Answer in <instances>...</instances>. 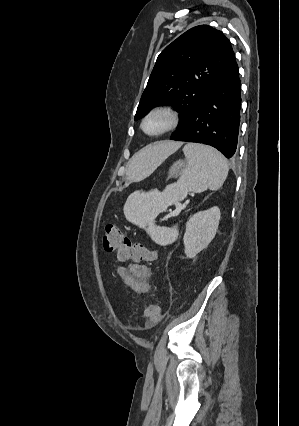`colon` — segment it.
Masks as SVG:
<instances>
[{
    "label": "colon",
    "instance_id": "1",
    "mask_svg": "<svg viewBox=\"0 0 299 426\" xmlns=\"http://www.w3.org/2000/svg\"><path fill=\"white\" fill-rule=\"evenodd\" d=\"M103 249L108 253H116L120 261H153L157 254L141 243L130 240L122 230L113 224H107L102 236ZM144 328H152L158 324L161 315L158 307L149 304L144 309Z\"/></svg>",
    "mask_w": 299,
    "mask_h": 426
}]
</instances>
